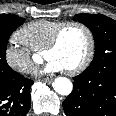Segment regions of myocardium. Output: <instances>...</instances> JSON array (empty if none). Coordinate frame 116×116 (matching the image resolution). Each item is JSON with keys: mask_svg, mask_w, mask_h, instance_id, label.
Segmentation results:
<instances>
[{"mask_svg": "<svg viewBox=\"0 0 116 116\" xmlns=\"http://www.w3.org/2000/svg\"><path fill=\"white\" fill-rule=\"evenodd\" d=\"M70 27L81 28L87 34L88 37V50L83 61L79 63L77 66L65 70V72L68 75H76L84 71L90 65L95 54V48H96L95 37L92 30L86 24L76 21L65 22L54 32L51 40L44 48V53L55 49L58 46L63 33Z\"/></svg>", "mask_w": 116, "mask_h": 116, "instance_id": "myocardium-1", "label": "myocardium"}]
</instances>
